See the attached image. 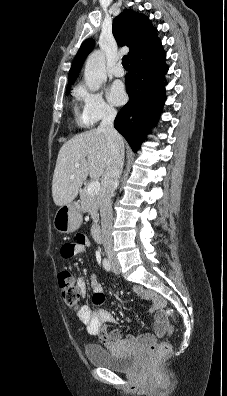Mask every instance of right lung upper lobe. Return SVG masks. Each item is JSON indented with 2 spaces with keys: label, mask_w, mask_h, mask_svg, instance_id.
Segmentation results:
<instances>
[{
  "label": "right lung upper lobe",
  "mask_w": 227,
  "mask_h": 396,
  "mask_svg": "<svg viewBox=\"0 0 227 396\" xmlns=\"http://www.w3.org/2000/svg\"><path fill=\"white\" fill-rule=\"evenodd\" d=\"M112 31L120 46L126 45L130 48L128 53L130 60L143 49L159 41L157 29L150 23L149 18L131 9H126L115 17ZM94 45L95 42L93 39H87L79 48L69 71L67 90H70L71 85L81 70L85 58L91 52Z\"/></svg>",
  "instance_id": "1"
}]
</instances>
